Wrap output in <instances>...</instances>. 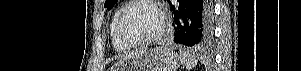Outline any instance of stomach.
<instances>
[{"instance_id": "1", "label": "stomach", "mask_w": 301, "mask_h": 71, "mask_svg": "<svg viewBox=\"0 0 301 71\" xmlns=\"http://www.w3.org/2000/svg\"><path fill=\"white\" fill-rule=\"evenodd\" d=\"M180 57L167 47L142 49L122 58L112 71H176Z\"/></svg>"}]
</instances>
